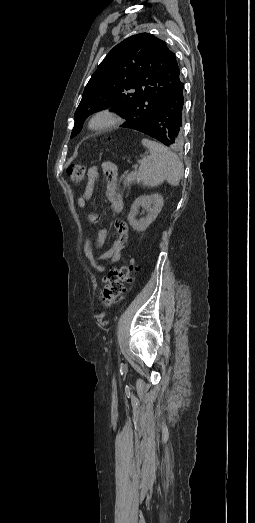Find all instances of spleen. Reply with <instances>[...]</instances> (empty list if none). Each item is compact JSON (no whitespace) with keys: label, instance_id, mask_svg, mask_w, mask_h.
<instances>
[{"label":"spleen","instance_id":"obj_1","mask_svg":"<svg viewBox=\"0 0 255 523\" xmlns=\"http://www.w3.org/2000/svg\"><path fill=\"white\" fill-rule=\"evenodd\" d=\"M142 144L150 152V156H146L140 162L138 178L142 186L153 188V186H160L163 180H167L171 186H179L183 176V164L178 156L170 152L166 146L146 138L142 140Z\"/></svg>","mask_w":255,"mask_h":523}]
</instances>
